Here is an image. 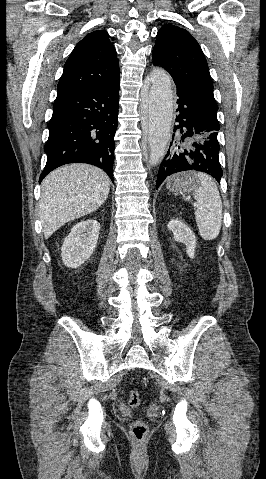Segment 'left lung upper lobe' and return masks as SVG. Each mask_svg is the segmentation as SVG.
<instances>
[{
  "label": "left lung upper lobe",
  "mask_w": 266,
  "mask_h": 479,
  "mask_svg": "<svg viewBox=\"0 0 266 479\" xmlns=\"http://www.w3.org/2000/svg\"><path fill=\"white\" fill-rule=\"evenodd\" d=\"M153 64L164 67L177 88L217 113L207 61L200 45L187 30L171 24L162 26L153 48Z\"/></svg>",
  "instance_id": "5c2ea615"
}]
</instances>
